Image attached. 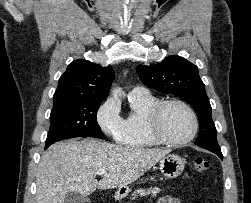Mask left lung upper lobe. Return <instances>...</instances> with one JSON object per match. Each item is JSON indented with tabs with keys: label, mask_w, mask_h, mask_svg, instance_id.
<instances>
[{
	"label": "left lung upper lobe",
	"mask_w": 251,
	"mask_h": 203,
	"mask_svg": "<svg viewBox=\"0 0 251 203\" xmlns=\"http://www.w3.org/2000/svg\"><path fill=\"white\" fill-rule=\"evenodd\" d=\"M137 73L146 86L178 96L189 103L200 123L195 144L209 151H220L212 108L196 65L183 57L172 55L155 65H138Z\"/></svg>",
	"instance_id": "left-lung-upper-lobe-1"
}]
</instances>
